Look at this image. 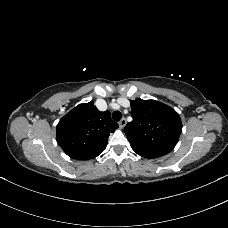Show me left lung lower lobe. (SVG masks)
Wrapping results in <instances>:
<instances>
[{
	"instance_id": "left-lung-lower-lobe-1",
	"label": "left lung lower lobe",
	"mask_w": 228,
	"mask_h": 228,
	"mask_svg": "<svg viewBox=\"0 0 228 228\" xmlns=\"http://www.w3.org/2000/svg\"><path fill=\"white\" fill-rule=\"evenodd\" d=\"M139 155L142 156V157H145V158H157V157H160V156L153 155V154H139Z\"/></svg>"
}]
</instances>
